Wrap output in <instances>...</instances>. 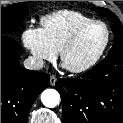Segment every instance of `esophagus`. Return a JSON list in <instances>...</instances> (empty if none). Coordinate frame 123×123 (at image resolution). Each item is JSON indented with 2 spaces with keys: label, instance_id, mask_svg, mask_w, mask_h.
<instances>
[{
  "label": "esophagus",
  "instance_id": "obj_1",
  "mask_svg": "<svg viewBox=\"0 0 123 123\" xmlns=\"http://www.w3.org/2000/svg\"><path fill=\"white\" fill-rule=\"evenodd\" d=\"M56 81H57L56 76L51 75V76H50V85H51V86H55Z\"/></svg>",
  "mask_w": 123,
  "mask_h": 123
}]
</instances>
